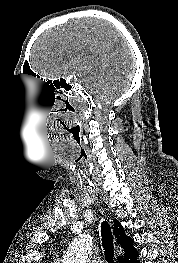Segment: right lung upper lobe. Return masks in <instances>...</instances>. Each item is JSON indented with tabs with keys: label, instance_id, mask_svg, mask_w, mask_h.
<instances>
[{
	"label": "right lung upper lobe",
	"instance_id": "cb5924a9",
	"mask_svg": "<svg viewBox=\"0 0 178 263\" xmlns=\"http://www.w3.org/2000/svg\"><path fill=\"white\" fill-rule=\"evenodd\" d=\"M114 231L116 235L117 242L122 246L124 253L117 257V263H121L125 258L129 257L136 250L133 246V239L128 237L123 229V226L118 220L114 222Z\"/></svg>",
	"mask_w": 178,
	"mask_h": 263
}]
</instances>
